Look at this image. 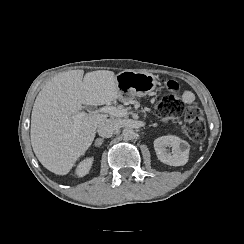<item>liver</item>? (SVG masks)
Listing matches in <instances>:
<instances>
[{
	"label": "liver",
	"instance_id": "liver-1",
	"mask_svg": "<svg viewBox=\"0 0 244 244\" xmlns=\"http://www.w3.org/2000/svg\"><path fill=\"white\" fill-rule=\"evenodd\" d=\"M114 72L83 70L62 72L48 81L33 105L31 145L41 164L49 171L66 175L92 144L96 129L107 118L86 114L75 125L72 116L82 105H104L119 98Z\"/></svg>",
	"mask_w": 244,
	"mask_h": 244
}]
</instances>
